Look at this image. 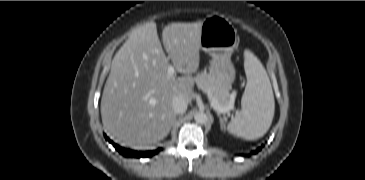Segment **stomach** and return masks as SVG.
Listing matches in <instances>:
<instances>
[{"mask_svg": "<svg viewBox=\"0 0 365 180\" xmlns=\"http://www.w3.org/2000/svg\"><path fill=\"white\" fill-rule=\"evenodd\" d=\"M237 30L221 16H209L202 21L200 29V48L212 57L210 76L230 86L235 79V68L231 55L237 47Z\"/></svg>", "mask_w": 365, "mask_h": 180, "instance_id": "obj_1", "label": "stomach"}]
</instances>
